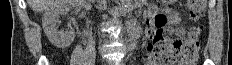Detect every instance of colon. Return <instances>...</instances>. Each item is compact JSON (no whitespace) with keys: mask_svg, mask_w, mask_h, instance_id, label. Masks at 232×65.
<instances>
[{"mask_svg":"<svg viewBox=\"0 0 232 65\" xmlns=\"http://www.w3.org/2000/svg\"><path fill=\"white\" fill-rule=\"evenodd\" d=\"M188 8L190 19L193 22L200 20L206 9V0H189ZM201 28L192 26L184 42L171 37H158L155 46V56L160 62L178 60L179 65H195L200 48L199 34Z\"/></svg>","mask_w":232,"mask_h":65,"instance_id":"obj_1","label":"colon"}]
</instances>
